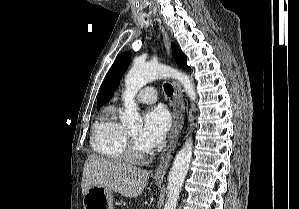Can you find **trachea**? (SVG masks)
<instances>
[{"mask_svg":"<svg viewBox=\"0 0 299 209\" xmlns=\"http://www.w3.org/2000/svg\"><path fill=\"white\" fill-rule=\"evenodd\" d=\"M164 91L167 94V96H172L173 95V87L171 84L165 83L164 84Z\"/></svg>","mask_w":299,"mask_h":209,"instance_id":"1","label":"trachea"}]
</instances>
